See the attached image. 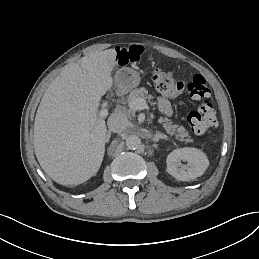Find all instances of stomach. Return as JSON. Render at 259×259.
<instances>
[{"mask_svg": "<svg viewBox=\"0 0 259 259\" xmlns=\"http://www.w3.org/2000/svg\"><path fill=\"white\" fill-rule=\"evenodd\" d=\"M139 83V74L133 68H123L116 72L115 85L123 92L134 89Z\"/></svg>", "mask_w": 259, "mask_h": 259, "instance_id": "0dacf381", "label": "stomach"}]
</instances>
